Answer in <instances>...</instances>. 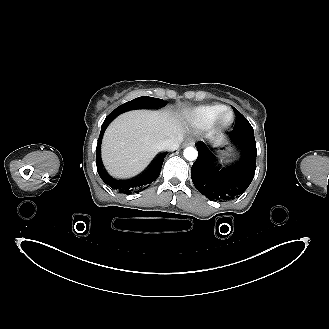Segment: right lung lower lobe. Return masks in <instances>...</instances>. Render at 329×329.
Returning <instances> with one entry per match:
<instances>
[{
    "instance_id": "1",
    "label": "right lung lower lobe",
    "mask_w": 329,
    "mask_h": 329,
    "mask_svg": "<svg viewBox=\"0 0 329 329\" xmlns=\"http://www.w3.org/2000/svg\"><path fill=\"white\" fill-rule=\"evenodd\" d=\"M113 119L115 118L106 117L101 127V132L96 148L97 171L103 182L109 185L112 189L117 190L119 193L130 194L132 192L142 191L149 187L150 184L158 178L166 153H160L142 174L131 180L124 181L112 178L103 168L100 158V146L103 134Z\"/></svg>"
}]
</instances>
